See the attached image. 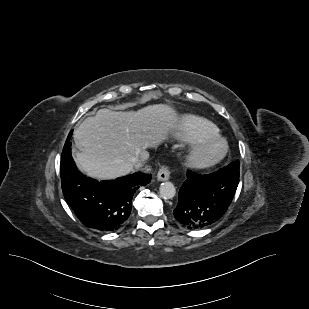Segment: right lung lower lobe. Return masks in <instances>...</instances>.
<instances>
[{
    "label": "right lung lower lobe",
    "mask_w": 309,
    "mask_h": 309,
    "mask_svg": "<svg viewBox=\"0 0 309 309\" xmlns=\"http://www.w3.org/2000/svg\"><path fill=\"white\" fill-rule=\"evenodd\" d=\"M70 131L60 162L64 197L79 220L98 231H116L122 227L131 212L135 191L148 184L151 174L141 172L110 181L97 182L80 173L71 156Z\"/></svg>",
    "instance_id": "98d812e1"
}]
</instances>
